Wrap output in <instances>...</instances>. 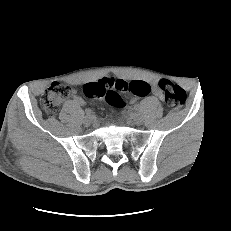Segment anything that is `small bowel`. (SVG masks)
<instances>
[{
    "mask_svg": "<svg viewBox=\"0 0 231 231\" xmlns=\"http://www.w3.org/2000/svg\"><path fill=\"white\" fill-rule=\"evenodd\" d=\"M149 86H150V90L151 92L157 96L159 99H163L164 98V94L162 92V90L159 88V86L157 85L156 81L154 79L149 80ZM136 100V98H132L131 101L134 102ZM73 101L75 104L77 105H83L84 101L82 98L78 97V96H74Z\"/></svg>",
    "mask_w": 231,
    "mask_h": 231,
    "instance_id": "small-bowel-1",
    "label": "small bowel"
}]
</instances>
